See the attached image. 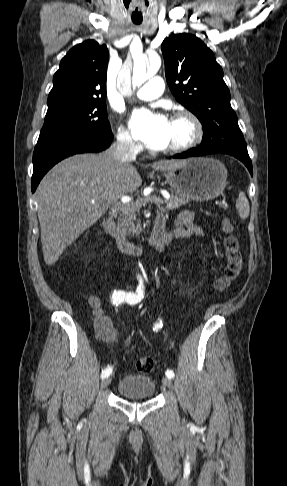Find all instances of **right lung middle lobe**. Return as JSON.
Segmentation results:
<instances>
[{"mask_svg":"<svg viewBox=\"0 0 287 486\" xmlns=\"http://www.w3.org/2000/svg\"><path fill=\"white\" fill-rule=\"evenodd\" d=\"M106 99L67 102L48 107L37 145L66 140H92L111 132Z\"/></svg>","mask_w":287,"mask_h":486,"instance_id":"obj_1","label":"right lung middle lobe"}]
</instances>
